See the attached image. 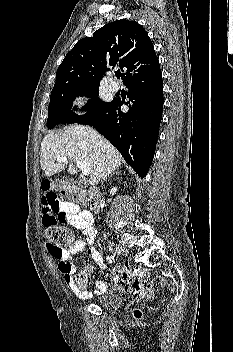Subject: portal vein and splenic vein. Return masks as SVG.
Returning <instances> with one entry per match:
<instances>
[{"mask_svg":"<svg viewBox=\"0 0 233 352\" xmlns=\"http://www.w3.org/2000/svg\"><path fill=\"white\" fill-rule=\"evenodd\" d=\"M68 160L67 157H57V161L58 162H66ZM74 163L76 164V166L81 169L83 175H89L90 174V164L86 161H78L75 160Z\"/></svg>","mask_w":233,"mask_h":352,"instance_id":"18ae733b","label":"portal vein and splenic vein"}]
</instances>
